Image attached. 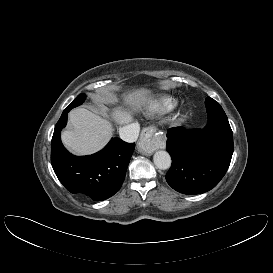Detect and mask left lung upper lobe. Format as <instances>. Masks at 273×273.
Segmentation results:
<instances>
[{
	"instance_id": "obj_1",
	"label": "left lung upper lobe",
	"mask_w": 273,
	"mask_h": 273,
	"mask_svg": "<svg viewBox=\"0 0 273 273\" xmlns=\"http://www.w3.org/2000/svg\"><path fill=\"white\" fill-rule=\"evenodd\" d=\"M205 106L208 112V116H226L220 104L210 97L206 98Z\"/></svg>"
}]
</instances>
